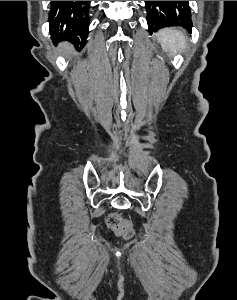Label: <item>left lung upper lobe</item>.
<instances>
[{"label":"left lung upper lobe","mask_w":237,"mask_h":300,"mask_svg":"<svg viewBox=\"0 0 237 300\" xmlns=\"http://www.w3.org/2000/svg\"><path fill=\"white\" fill-rule=\"evenodd\" d=\"M147 22L150 33L163 27L192 26L191 10L185 1H158L157 4L146 6Z\"/></svg>","instance_id":"5c2ea615"}]
</instances>
